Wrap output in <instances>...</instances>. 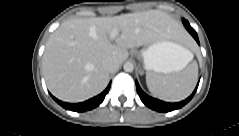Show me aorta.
<instances>
[{
	"label": "aorta",
	"mask_w": 239,
	"mask_h": 136,
	"mask_svg": "<svg viewBox=\"0 0 239 136\" xmlns=\"http://www.w3.org/2000/svg\"><path fill=\"white\" fill-rule=\"evenodd\" d=\"M123 69L124 71L126 72H132L134 70V65L131 63V62H126L124 65H123Z\"/></svg>",
	"instance_id": "1"
}]
</instances>
